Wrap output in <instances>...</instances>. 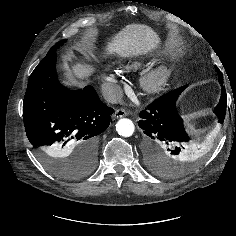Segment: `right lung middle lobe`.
<instances>
[{
	"mask_svg": "<svg viewBox=\"0 0 236 236\" xmlns=\"http://www.w3.org/2000/svg\"><path fill=\"white\" fill-rule=\"evenodd\" d=\"M66 40H62L55 44L48 54L56 52V48L64 44ZM40 159L43 165L52 173L57 176L63 178H77L86 175L94 166V164L86 163V162H71V161H63L60 159H55L46 154H40Z\"/></svg>",
	"mask_w": 236,
	"mask_h": 236,
	"instance_id": "obj_1",
	"label": "right lung middle lobe"
}]
</instances>
